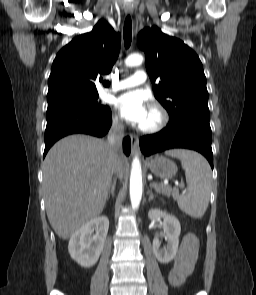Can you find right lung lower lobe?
<instances>
[{
    "instance_id": "98d812e1",
    "label": "right lung lower lobe",
    "mask_w": 256,
    "mask_h": 295,
    "mask_svg": "<svg viewBox=\"0 0 256 295\" xmlns=\"http://www.w3.org/2000/svg\"><path fill=\"white\" fill-rule=\"evenodd\" d=\"M46 119L44 157L60 138L74 133L102 137L108 132L112 123L109 108L104 111H85L73 107L50 108L47 109ZM123 150L126 155L130 154L129 137L123 140Z\"/></svg>"
}]
</instances>
